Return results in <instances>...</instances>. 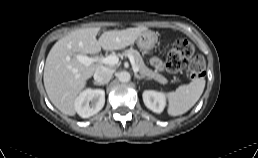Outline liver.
Masks as SVG:
<instances>
[{"label": "liver", "mask_w": 258, "mask_h": 158, "mask_svg": "<svg viewBox=\"0 0 258 158\" xmlns=\"http://www.w3.org/2000/svg\"><path fill=\"white\" fill-rule=\"evenodd\" d=\"M100 28H85L70 32L51 48L44 67V86L53 105L65 115L75 114L74 102L86 87L87 80L101 67L86 66L78 55L96 54L123 49L133 44L146 27L127 28L104 32L97 40Z\"/></svg>", "instance_id": "liver-1"}]
</instances>
